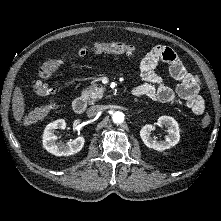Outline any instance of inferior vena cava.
Returning a JSON list of instances; mask_svg holds the SVG:
<instances>
[{"label":"inferior vena cava","mask_w":221,"mask_h":221,"mask_svg":"<svg viewBox=\"0 0 221 221\" xmlns=\"http://www.w3.org/2000/svg\"><path fill=\"white\" fill-rule=\"evenodd\" d=\"M101 111V107L99 105H94L88 108L87 110V116L92 117L97 115Z\"/></svg>","instance_id":"602c4592"}]
</instances>
